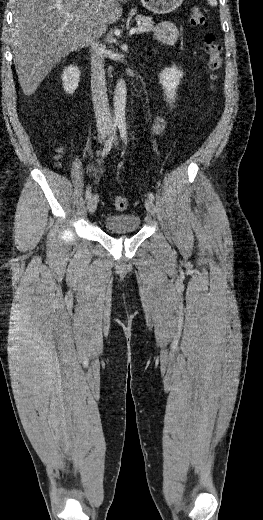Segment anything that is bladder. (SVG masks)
Wrapping results in <instances>:
<instances>
[{
	"mask_svg": "<svg viewBox=\"0 0 263 520\" xmlns=\"http://www.w3.org/2000/svg\"><path fill=\"white\" fill-rule=\"evenodd\" d=\"M103 226L112 234L135 233L141 228V218L135 213L109 214L104 218Z\"/></svg>",
	"mask_w": 263,
	"mask_h": 520,
	"instance_id": "31cf9c89",
	"label": "bladder"
}]
</instances>
